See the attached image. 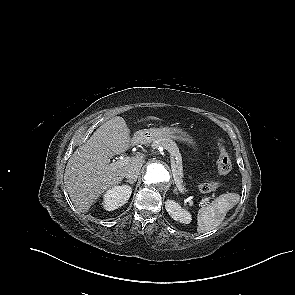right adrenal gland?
<instances>
[{
	"instance_id": "right-adrenal-gland-1",
	"label": "right adrenal gland",
	"mask_w": 295,
	"mask_h": 295,
	"mask_svg": "<svg viewBox=\"0 0 295 295\" xmlns=\"http://www.w3.org/2000/svg\"><path fill=\"white\" fill-rule=\"evenodd\" d=\"M127 183L134 185V183L136 182V180H126Z\"/></svg>"
}]
</instances>
